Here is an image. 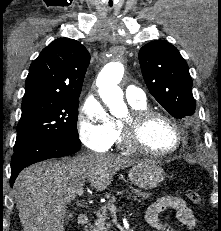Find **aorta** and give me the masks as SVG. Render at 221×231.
<instances>
[{
    "mask_svg": "<svg viewBox=\"0 0 221 231\" xmlns=\"http://www.w3.org/2000/svg\"><path fill=\"white\" fill-rule=\"evenodd\" d=\"M123 74L124 67L121 63H109L101 70L96 81L100 97L114 115H119L125 108L123 91L118 86Z\"/></svg>",
    "mask_w": 221,
    "mask_h": 231,
    "instance_id": "aorta-1",
    "label": "aorta"
}]
</instances>
